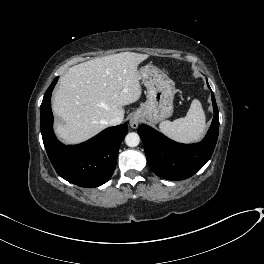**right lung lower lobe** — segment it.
Here are the masks:
<instances>
[{
	"label": "right lung lower lobe",
	"mask_w": 264,
	"mask_h": 264,
	"mask_svg": "<svg viewBox=\"0 0 264 264\" xmlns=\"http://www.w3.org/2000/svg\"><path fill=\"white\" fill-rule=\"evenodd\" d=\"M57 80L58 77L47 89L40 108L41 134L48 157L65 180L81 187H98L113 174L119 146L128 132L127 124L107 128L79 145H63L52 128L51 94Z\"/></svg>",
	"instance_id": "right-lung-lower-lobe-1"
}]
</instances>
